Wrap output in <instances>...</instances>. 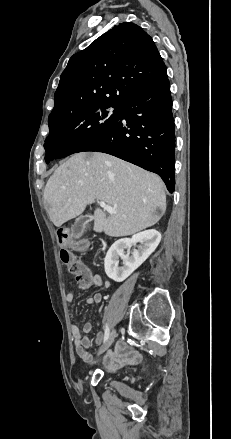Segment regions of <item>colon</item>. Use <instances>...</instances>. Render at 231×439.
<instances>
[{
	"mask_svg": "<svg viewBox=\"0 0 231 439\" xmlns=\"http://www.w3.org/2000/svg\"><path fill=\"white\" fill-rule=\"evenodd\" d=\"M57 242L59 246V256L68 271L76 278L77 283L83 289L88 288L91 283V272L81 261H79L71 248H85L86 242L80 241L79 236H71L69 238L68 231L60 228L57 231Z\"/></svg>",
	"mask_w": 231,
	"mask_h": 439,
	"instance_id": "5ec220e1",
	"label": "colon"
}]
</instances>
